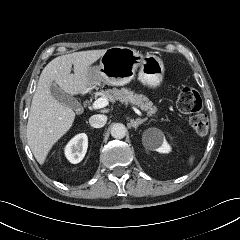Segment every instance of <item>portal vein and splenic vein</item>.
I'll return each mask as SVG.
<instances>
[{
  "label": "portal vein and splenic vein",
  "mask_w": 240,
  "mask_h": 240,
  "mask_svg": "<svg viewBox=\"0 0 240 240\" xmlns=\"http://www.w3.org/2000/svg\"><path fill=\"white\" fill-rule=\"evenodd\" d=\"M109 104V100L106 97L98 98L91 106V110L101 109ZM136 114L139 116H142V113L140 110H138L136 107L132 108Z\"/></svg>",
  "instance_id": "1"
}]
</instances>
